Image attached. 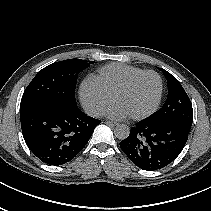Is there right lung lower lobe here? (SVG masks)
<instances>
[{
	"mask_svg": "<svg viewBox=\"0 0 211 211\" xmlns=\"http://www.w3.org/2000/svg\"><path fill=\"white\" fill-rule=\"evenodd\" d=\"M24 140L42 162L58 166L71 161L101 122L78 107L44 105L20 111Z\"/></svg>",
	"mask_w": 211,
	"mask_h": 211,
	"instance_id": "98d812e1",
	"label": "right lung lower lobe"
}]
</instances>
